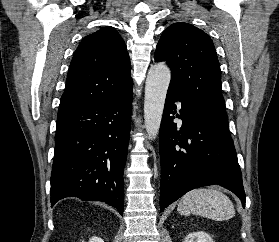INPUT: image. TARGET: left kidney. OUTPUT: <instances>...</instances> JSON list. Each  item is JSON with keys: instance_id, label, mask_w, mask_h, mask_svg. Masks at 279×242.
Listing matches in <instances>:
<instances>
[{"instance_id": "5707ae66", "label": "left kidney", "mask_w": 279, "mask_h": 242, "mask_svg": "<svg viewBox=\"0 0 279 242\" xmlns=\"http://www.w3.org/2000/svg\"><path fill=\"white\" fill-rule=\"evenodd\" d=\"M184 242H213L210 235L203 231H197L189 233L186 237Z\"/></svg>"}]
</instances>
